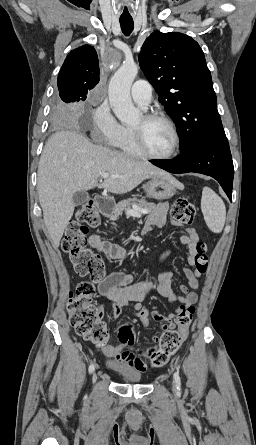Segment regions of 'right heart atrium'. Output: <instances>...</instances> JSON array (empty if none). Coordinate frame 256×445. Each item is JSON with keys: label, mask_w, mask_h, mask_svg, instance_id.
<instances>
[{"label": "right heart atrium", "mask_w": 256, "mask_h": 445, "mask_svg": "<svg viewBox=\"0 0 256 445\" xmlns=\"http://www.w3.org/2000/svg\"><path fill=\"white\" fill-rule=\"evenodd\" d=\"M123 131L106 101L99 102L92 114V134L100 142L114 145Z\"/></svg>", "instance_id": "d8ad5b80"}]
</instances>
